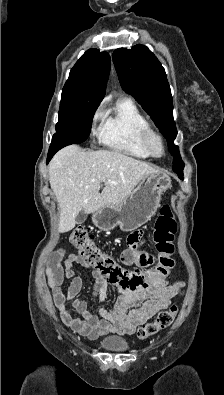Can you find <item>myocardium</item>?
<instances>
[{
  "mask_svg": "<svg viewBox=\"0 0 224 395\" xmlns=\"http://www.w3.org/2000/svg\"><path fill=\"white\" fill-rule=\"evenodd\" d=\"M153 140L159 141L161 145V153H157L154 150L152 146ZM140 141L150 156L155 158H160L165 155L166 148H165V142L163 137L156 130H154L149 124L141 129Z\"/></svg>",
  "mask_w": 224,
  "mask_h": 395,
  "instance_id": "f54148a6",
  "label": "myocardium"
}]
</instances>
